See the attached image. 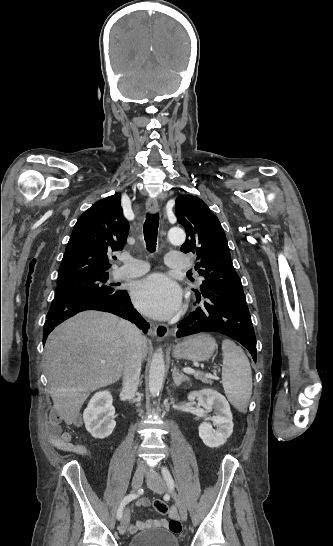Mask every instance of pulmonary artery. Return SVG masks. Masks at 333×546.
<instances>
[{
	"label": "pulmonary artery",
	"instance_id": "e3ab8cb5",
	"mask_svg": "<svg viewBox=\"0 0 333 546\" xmlns=\"http://www.w3.org/2000/svg\"><path fill=\"white\" fill-rule=\"evenodd\" d=\"M122 261L124 264L115 269L112 274L113 278L116 280L140 276L149 269L148 264L143 260L132 257H123ZM165 263L168 267L179 270H186L191 264L188 257L174 251L166 254Z\"/></svg>",
	"mask_w": 333,
	"mask_h": 546
}]
</instances>
